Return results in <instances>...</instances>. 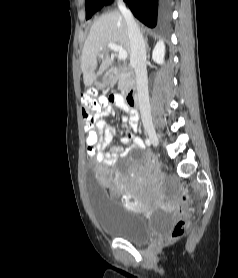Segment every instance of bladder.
<instances>
[{"mask_svg":"<svg viewBox=\"0 0 238 278\" xmlns=\"http://www.w3.org/2000/svg\"><path fill=\"white\" fill-rule=\"evenodd\" d=\"M85 179L96 180V175L88 172ZM86 185L95 220L106 235L140 244L154 235L165 233L174 224V216L168 211L157 210L147 217L111 197L103 186H98V181H87Z\"/></svg>","mask_w":238,"mask_h":278,"instance_id":"bladder-1","label":"bladder"}]
</instances>
